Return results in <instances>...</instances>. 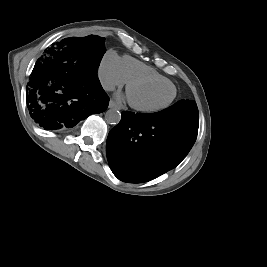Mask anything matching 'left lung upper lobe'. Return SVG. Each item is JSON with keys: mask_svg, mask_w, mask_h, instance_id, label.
I'll use <instances>...</instances> for the list:
<instances>
[{"mask_svg": "<svg viewBox=\"0 0 267 267\" xmlns=\"http://www.w3.org/2000/svg\"><path fill=\"white\" fill-rule=\"evenodd\" d=\"M166 111H186L192 114L198 115V108L195 101L192 100H180L175 103L173 106L165 109Z\"/></svg>", "mask_w": 267, "mask_h": 267, "instance_id": "obj_1", "label": "left lung upper lobe"}]
</instances>
